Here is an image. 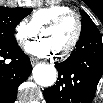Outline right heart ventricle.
I'll return each instance as SVG.
<instances>
[{
  "instance_id": "e07e8e85",
  "label": "right heart ventricle",
  "mask_w": 103,
  "mask_h": 103,
  "mask_svg": "<svg viewBox=\"0 0 103 103\" xmlns=\"http://www.w3.org/2000/svg\"><path fill=\"white\" fill-rule=\"evenodd\" d=\"M71 11V8L65 5H50L35 11L31 15V23L36 29L41 30L58 16Z\"/></svg>"
}]
</instances>
